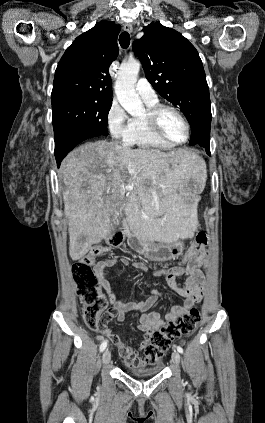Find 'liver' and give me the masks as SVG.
Masks as SVG:
<instances>
[{
  "instance_id": "liver-1",
  "label": "liver",
  "mask_w": 265,
  "mask_h": 423,
  "mask_svg": "<svg viewBox=\"0 0 265 423\" xmlns=\"http://www.w3.org/2000/svg\"><path fill=\"white\" fill-rule=\"evenodd\" d=\"M61 170L73 260L109 236L111 217L122 212L140 240L171 243L191 238L198 227L196 205L185 186L190 180L204 184L206 165L190 150L164 153L88 142L66 156ZM126 182L134 190H126Z\"/></svg>"
}]
</instances>
